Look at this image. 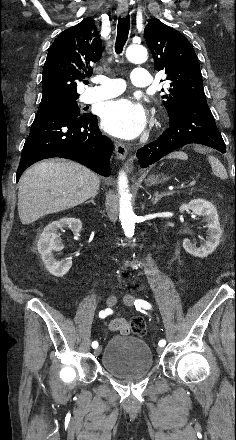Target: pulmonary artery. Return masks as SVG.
Returning <instances> with one entry per match:
<instances>
[{
  "label": "pulmonary artery",
  "mask_w": 236,
  "mask_h": 440,
  "mask_svg": "<svg viewBox=\"0 0 236 440\" xmlns=\"http://www.w3.org/2000/svg\"><path fill=\"white\" fill-rule=\"evenodd\" d=\"M131 80L135 87L146 88L151 85L152 77L149 71L143 67H135L131 73ZM125 90L122 79H112L103 76L99 79V85L93 89H88L83 94L85 103L97 102L113 98Z\"/></svg>",
  "instance_id": "obj_1"
}]
</instances>
